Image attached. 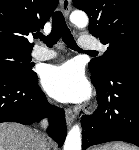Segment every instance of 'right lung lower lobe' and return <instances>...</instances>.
<instances>
[{"instance_id":"obj_1","label":"right lung lower lobe","mask_w":139,"mask_h":150,"mask_svg":"<svg viewBox=\"0 0 139 150\" xmlns=\"http://www.w3.org/2000/svg\"><path fill=\"white\" fill-rule=\"evenodd\" d=\"M37 81V75L27 80L0 73V123L18 122L29 125L48 117L50 124L47 132L62 146L67 133L64 110L48 104Z\"/></svg>"}]
</instances>
